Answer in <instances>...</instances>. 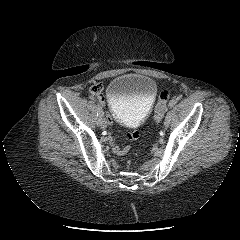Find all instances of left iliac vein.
Segmentation results:
<instances>
[{
  "mask_svg": "<svg viewBox=\"0 0 240 240\" xmlns=\"http://www.w3.org/2000/svg\"><path fill=\"white\" fill-rule=\"evenodd\" d=\"M171 122V112L169 111L165 117L164 127L167 128Z\"/></svg>",
  "mask_w": 240,
  "mask_h": 240,
  "instance_id": "left-iliac-vein-1",
  "label": "left iliac vein"
}]
</instances>
